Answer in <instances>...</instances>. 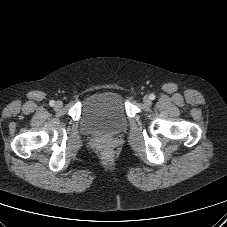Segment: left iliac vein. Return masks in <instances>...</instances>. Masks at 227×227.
I'll return each mask as SVG.
<instances>
[{
	"label": "left iliac vein",
	"instance_id": "4c4485c4",
	"mask_svg": "<svg viewBox=\"0 0 227 227\" xmlns=\"http://www.w3.org/2000/svg\"><path fill=\"white\" fill-rule=\"evenodd\" d=\"M143 102H144V104L147 105V106L151 105V99H150V97H149V96H145V97L143 98Z\"/></svg>",
	"mask_w": 227,
	"mask_h": 227
}]
</instances>
